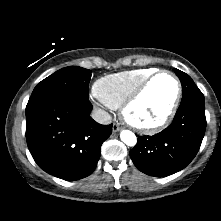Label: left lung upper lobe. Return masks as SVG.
Segmentation results:
<instances>
[{
    "mask_svg": "<svg viewBox=\"0 0 221 221\" xmlns=\"http://www.w3.org/2000/svg\"><path fill=\"white\" fill-rule=\"evenodd\" d=\"M175 72L178 75L183 88L181 104H184L188 101H205L202 92L195 85L189 75L178 69H175Z\"/></svg>",
    "mask_w": 221,
    "mask_h": 221,
    "instance_id": "1",
    "label": "left lung upper lobe"
}]
</instances>
